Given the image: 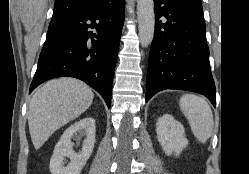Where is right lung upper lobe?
<instances>
[{"mask_svg": "<svg viewBox=\"0 0 249 174\" xmlns=\"http://www.w3.org/2000/svg\"><path fill=\"white\" fill-rule=\"evenodd\" d=\"M115 1L116 0H56L50 25H54L75 15L106 8Z\"/></svg>", "mask_w": 249, "mask_h": 174, "instance_id": "cb5924a9", "label": "right lung upper lobe"}]
</instances>
